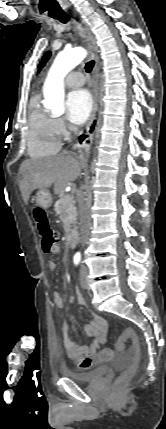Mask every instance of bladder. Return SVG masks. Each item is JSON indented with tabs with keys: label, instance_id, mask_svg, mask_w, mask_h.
<instances>
[{
	"label": "bladder",
	"instance_id": "bladder-1",
	"mask_svg": "<svg viewBox=\"0 0 166 429\" xmlns=\"http://www.w3.org/2000/svg\"><path fill=\"white\" fill-rule=\"evenodd\" d=\"M107 371L108 366H100L88 372L65 370L64 374L77 383H90L104 377Z\"/></svg>",
	"mask_w": 166,
	"mask_h": 429
}]
</instances>
